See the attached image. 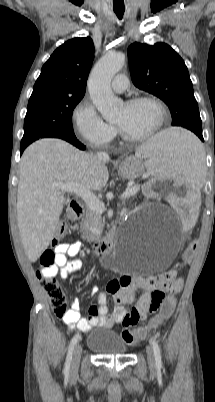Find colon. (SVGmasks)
Segmentation results:
<instances>
[{"instance_id": "colon-1", "label": "colon", "mask_w": 215, "mask_h": 402, "mask_svg": "<svg viewBox=\"0 0 215 402\" xmlns=\"http://www.w3.org/2000/svg\"><path fill=\"white\" fill-rule=\"evenodd\" d=\"M67 232V227L64 223H60L56 229V233L53 239V244H56L61 238L65 236ZM198 249V244L195 239L190 241V245H187L185 249L180 253V258L182 260H191L195 255V250ZM55 253L52 250H46L40 257V264L43 268H50L55 264ZM174 271H167L159 276L165 279H171L174 277ZM39 277L42 281V286L47 293L53 312L59 316L63 317L67 313V299L64 291L62 290L60 284L50 276H44L39 273ZM171 293L163 302L159 316L153 321L152 326H156L159 321L167 318L171 315L174 308V297ZM165 295L161 293H154L152 297V302L150 306V311L156 310L164 300ZM134 318L138 317V313L134 311ZM147 330L145 328H139L135 330L125 329L121 333V338L127 344H135L146 335Z\"/></svg>"}]
</instances>
